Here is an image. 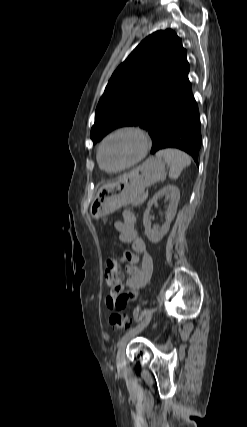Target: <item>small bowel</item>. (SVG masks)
I'll use <instances>...</instances> for the list:
<instances>
[{"label": "small bowel", "mask_w": 247, "mask_h": 427, "mask_svg": "<svg viewBox=\"0 0 247 427\" xmlns=\"http://www.w3.org/2000/svg\"><path fill=\"white\" fill-rule=\"evenodd\" d=\"M115 228L119 233V240L129 243L133 252L124 253L127 278L111 290L106 298V305L109 309H123L137 297L138 291L150 280L153 258L144 240L137 233L136 217L132 212H123L122 219L115 223Z\"/></svg>", "instance_id": "c3829d8e"}]
</instances>
